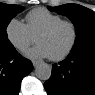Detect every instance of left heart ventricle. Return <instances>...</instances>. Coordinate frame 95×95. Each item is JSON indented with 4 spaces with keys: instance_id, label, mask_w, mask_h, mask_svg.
I'll list each match as a JSON object with an SVG mask.
<instances>
[{
    "instance_id": "1",
    "label": "left heart ventricle",
    "mask_w": 95,
    "mask_h": 95,
    "mask_svg": "<svg viewBox=\"0 0 95 95\" xmlns=\"http://www.w3.org/2000/svg\"><path fill=\"white\" fill-rule=\"evenodd\" d=\"M72 38V28L68 25H62L50 34L38 36L36 42L44 45L49 51L50 56H56L68 48Z\"/></svg>"
}]
</instances>
